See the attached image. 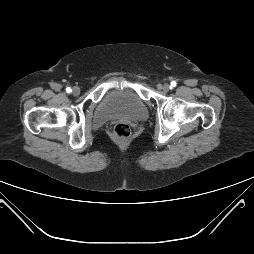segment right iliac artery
<instances>
[{
    "label": "right iliac artery",
    "instance_id": "obj_1",
    "mask_svg": "<svg viewBox=\"0 0 254 254\" xmlns=\"http://www.w3.org/2000/svg\"><path fill=\"white\" fill-rule=\"evenodd\" d=\"M67 93H71L72 89L70 87L66 88Z\"/></svg>",
    "mask_w": 254,
    "mask_h": 254
}]
</instances>
